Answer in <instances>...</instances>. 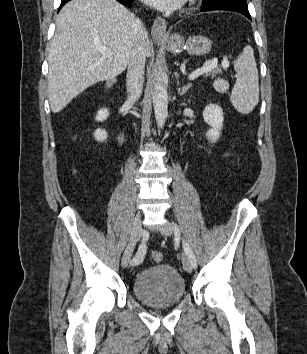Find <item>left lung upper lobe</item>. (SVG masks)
<instances>
[{"instance_id":"left-lung-upper-lobe-1","label":"left lung upper lobe","mask_w":307,"mask_h":354,"mask_svg":"<svg viewBox=\"0 0 307 354\" xmlns=\"http://www.w3.org/2000/svg\"><path fill=\"white\" fill-rule=\"evenodd\" d=\"M231 2H245L246 0H203V5H208L211 3H231Z\"/></svg>"}]
</instances>
